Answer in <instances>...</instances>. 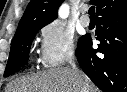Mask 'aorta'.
<instances>
[{
  "label": "aorta",
  "mask_w": 127,
  "mask_h": 92,
  "mask_svg": "<svg viewBox=\"0 0 127 92\" xmlns=\"http://www.w3.org/2000/svg\"><path fill=\"white\" fill-rule=\"evenodd\" d=\"M69 14V6L67 4H63L59 9V17L66 18Z\"/></svg>",
  "instance_id": "aorta-1"
}]
</instances>
